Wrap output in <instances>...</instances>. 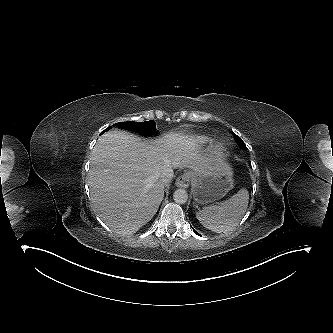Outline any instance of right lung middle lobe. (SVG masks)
<instances>
[{"instance_id": "right-lung-middle-lobe-1", "label": "right lung middle lobe", "mask_w": 333, "mask_h": 333, "mask_svg": "<svg viewBox=\"0 0 333 333\" xmlns=\"http://www.w3.org/2000/svg\"><path fill=\"white\" fill-rule=\"evenodd\" d=\"M114 126L127 129L136 133H139L144 136H151L156 134V124L154 120L146 121V122H120L114 124ZM111 127L105 129V131L110 130Z\"/></svg>"}]
</instances>
